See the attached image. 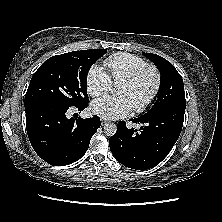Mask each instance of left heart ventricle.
I'll return each instance as SVG.
<instances>
[{
	"label": "left heart ventricle",
	"mask_w": 222,
	"mask_h": 222,
	"mask_svg": "<svg viewBox=\"0 0 222 222\" xmlns=\"http://www.w3.org/2000/svg\"><path fill=\"white\" fill-rule=\"evenodd\" d=\"M155 85L153 72H145L134 84H120L117 93L127 97L132 108L142 104L151 94Z\"/></svg>",
	"instance_id": "obj_1"
}]
</instances>
